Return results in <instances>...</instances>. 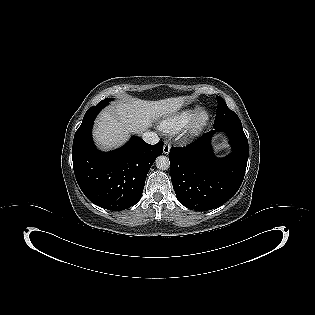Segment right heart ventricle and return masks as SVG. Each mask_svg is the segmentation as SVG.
<instances>
[{
	"instance_id": "right-heart-ventricle-1",
	"label": "right heart ventricle",
	"mask_w": 315,
	"mask_h": 315,
	"mask_svg": "<svg viewBox=\"0 0 315 315\" xmlns=\"http://www.w3.org/2000/svg\"><path fill=\"white\" fill-rule=\"evenodd\" d=\"M198 109V106H193L171 114L161 120L159 128L164 133L175 134L190 123Z\"/></svg>"
}]
</instances>
